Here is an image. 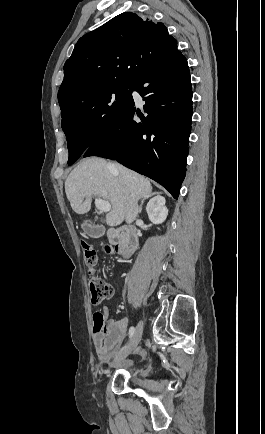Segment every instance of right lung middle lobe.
Returning <instances> with one entry per match:
<instances>
[{
	"label": "right lung middle lobe",
	"mask_w": 265,
	"mask_h": 434,
	"mask_svg": "<svg viewBox=\"0 0 265 434\" xmlns=\"http://www.w3.org/2000/svg\"><path fill=\"white\" fill-rule=\"evenodd\" d=\"M133 80L107 78L58 97L67 138L68 165L105 136L133 102Z\"/></svg>",
	"instance_id": "1"
}]
</instances>
